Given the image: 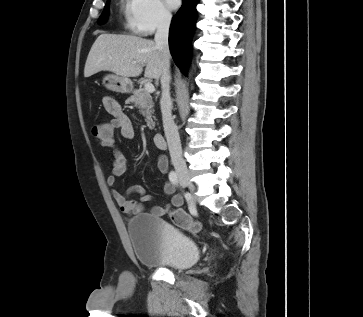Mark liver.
I'll use <instances>...</instances> for the list:
<instances>
[{
	"label": "liver",
	"mask_w": 363,
	"mask_h": 317,
	"mask_svg": "<svg viewBox=\"0 0 363 317\" xmlns=\"http://www.w3.org/2000/svg\"><path fill=\"white\" fill-rule=\"evenodd\" d=\"M144 76L155 79L162 75L163 58L154 41L132 35L101 34L88 54L84 77L110 71L123 78Z\"/></svg>",
	"instance_id": "liver-1"
}]
</instances>
